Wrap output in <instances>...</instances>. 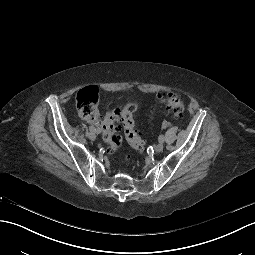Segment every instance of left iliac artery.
<instances>
[{
    "label": "left iliac artery",
    "mask_w": 255,
    "mask_h": 255,
    "mask_svg": "<svg viewBox=\"0 0 255 255\" xmlns=\"http://www.w3.org/2000/svg\"><path fill=\"white\" fill-rule=\"evenodd\" d=\"M158 140H159L160 143H163L164 142V135H162V134L159 135Z\"/></svg>",
    "instance_id": "left-iliac-artery-1"
}]
</instances>
